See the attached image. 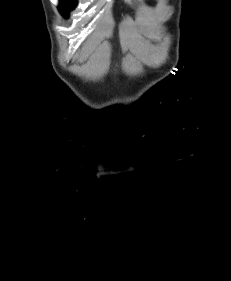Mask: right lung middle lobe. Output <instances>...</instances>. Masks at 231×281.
Returning a JSON list of instances; mask_svg holds the SVG:
<instances>
[{
	"label": "right lung middle lobe",
	"mask_w": 231,
	"mask_h": 281,
	"mask_svg": "<svg viewBox=\"0 0 231 281\" xmlns=\"http://www.w3.org/2000/svg\"><path fill=\"white\" fill-rule=\"evenodd\" d=\"M77 0H60L59 10L64 16H68V11L76 6Z\"/></svg>",
	"instance_id": "dd1d6c3e"
}]
</instances>
